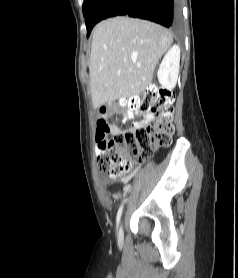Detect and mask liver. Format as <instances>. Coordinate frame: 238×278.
Returning a JSON list of instances; mask_svg holds the SVG:
<instances>
[{
  "label": "liver",
  "instance_id": "1",
  "mask_svg": "<svg viewBox=\"0 0 238 278\" xmlns=\"http://www.w3.org/2000/svg\"><path fill=\"white\" fill-rule=\"evenodd\" d=\"M172 34L150 21L115 17L96 25L89 63L94 108L143 93Z\"/></svg>",
  "mask_w": 238,
  "mask_h": 278
}]
</instances>
